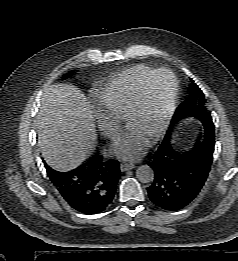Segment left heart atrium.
I'll return each instance as SVG.
<instances>
[{"label": "left heart atrium", "instance_id": "39dd6f15", "mask_svg": "<svg viewBox=\"0 0 238 261\" xmlns=\"http://www.w3.org/2000/svg\"><path fill=\"white\" fill-rule=\"evenodd\" d=\"M150 135L129 124L114 138L111 146L112 151L121 159L136 161L145 154L149 146Z\"/></svg>", "mask_w": 238, "mask_h": 261}]
</instances>
